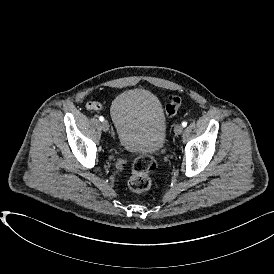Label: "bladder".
I'll list each match as a JSON object with an SVG mask.
<instances>
[{
    "label": "bladder",
    "mask_w": 274,
    "mask_h": 274,
    "mask_svg": "<svg viewBox=\"0 0 274 274\" xmlns=\"http://www.w3.org/2000/svg\"><path fill=\"white\" fill-rule=\"evenodd\" d=\"M117 141L122 149L147 155L162 149L166 117L159 99L145 89L120 93L111 106Z\"/></svg>",
    "instance_id": "obj_1"
}]
</instances>
